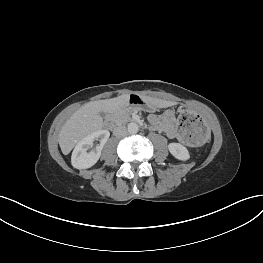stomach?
<instances>
[{"mask_svg": "<svg viewBox=\"0 0 263 263\" xmlns=\"http://www.w3.org/2000/svg\"><path fill=\"white\" fill-rule=\"evenodd\" d=\"M128 110L134 109H150L156 108L154 104L146 101L142 96H129ZM173 128L181 132L183 140L192 145H202L206 143L210 137V130L199 117L198 113L192 109L181 111L177 118L173 121Z\"/></svg>", "mask_w": 263, "mask_h": 263, "instance_id": "0dacf381", "label": "stomach"}]
</instances>
